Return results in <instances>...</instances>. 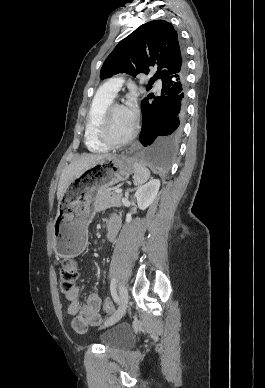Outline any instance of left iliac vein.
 <instances>
[{
    "mask_svg": "<svg viewBox=\"0 0 265 388\" xmlns=\"http://www.w3.org/2000/svg\"><path fill=\"white\" fill-rule=\"evenodd\" d=\"M119 307L115 314L104 324L105 327L112 326L117 323L125 314L128 305V291L124 285L119 288Z\"/></svg>",
    "mask_w": 265,
    "mask_h": 388,
    "instance_id": "4c4485c4",
    "label": "left iliac vein"
}]
</instances>
